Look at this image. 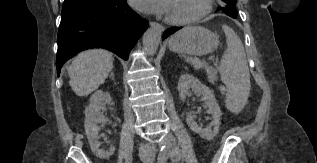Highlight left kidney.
<instances>
[{
    "label": "left kidney",
    "instance_id": "5707ae66",
    "mask_svg": "<svg viewBox=\"0 0 317 163\" xmlns=\"http://www.w3.org/2000/svg\"><path fill=\"white\" fill-rule=\"evenodd\" d=\"M190 89H193L195 93L201 94L204 100V107L208 108V113L212 115V121L207 128H201L195 122V117L191 113H186V122L189 128L199 134L206 140H212L218 133L220 126L221 110L216 102V98L213 92L205 85H203L197 78L183 74L178 81V92L182 101L189 95ZM212 127V128H211Z\"/></svg>",
    "mask_w": 317,
    "mask_h": 163
}]
</instances>
